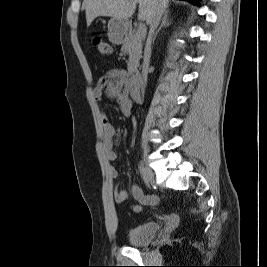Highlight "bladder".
Masks as SVG:
<instances>
[{
	"label": "bladder",
	"mask_w": 267,
	"mask_h": 267,
	"mask_svg": "<svg viewBox=\"0 0 267 267\" xmlns=\"http://www.w3.org/2000/svg\"><path fill=\"white\" fill-rule=\"evenodd\" d=\"M159 231L160 225L158 223H145L129 231L128 243L133 247L145 246L158 235Z\"/></svg>",
	"instance_id": "bladder-1"
}]
</instances>
